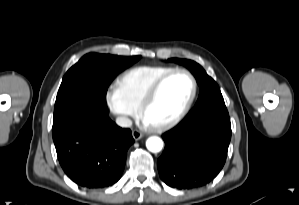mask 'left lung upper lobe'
<instances>
[{"mask_svg": "<svg viewBox=\"0 0 299 205\" xmlns=\"http://www.w3.org/2000/svg\"><path fill=\"white\" fill-rule=\"evenodd\" d=\"M168 61L176 62L188 67L200 86V94L194 108L189 112V116H199L205 111L226 107L221 91L217 83L207 75L205 70L196 62L186 59L171 58Z\"/></svg>", "mask_w": 299, "mask_h": 205, "instance_id": "5c2ea615", "label": "left lung upper lobe"}]
</instances>
